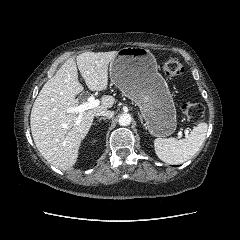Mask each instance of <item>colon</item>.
Here are the masks:
<instances>
[{"mask_svg": "<svg viewBox=\"0 0 240 240\" xmlns=\"http://www.w3.org/2000/svg\"><path fill=\"white\" fill-rule=\"evenodd\" d=\"M183 71L182 64L174 56L168 57L163 63V72L168 77H177L181 75ZM181 109L186 119L192 123L200 121L204 116V106L199 102H185Z\"/></svg>", "mask_w": 240, "mask_h": 240, "instance_id": "colon-1", "label": "colon"}]
</instances>
